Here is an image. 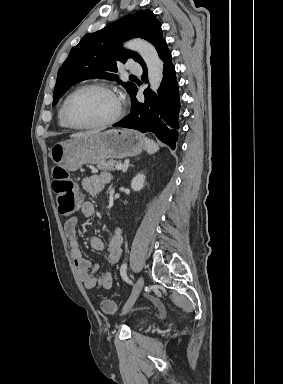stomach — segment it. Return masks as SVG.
Instances as JSON below:
<instances>
[{
	"instance_id": "1",
	"label": "stomach",
	"mask_w": 283,
	"mask_h": 384,
	"mask_svg": "<svg viewBox=\"0 0 283 384\" xmlns=\"http://www.w3.org/2000/svg\"><path fill=\"white\" fill-rule=\"evenodd\" d=\"M145 148V138L135 130H106L55 144L50 158L56 166L76 172L84 164H100L108 158L121 160L138 156Z\"/></svg>"
}]
</instances>
